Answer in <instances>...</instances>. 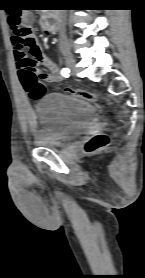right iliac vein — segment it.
Returning a JSON list of instances; mask_svg holds the SVG:
<instances>
[{
    "label": "right iliac vein",
    "mask_w": 145,
    "mask_h": 278,
    "mask_svg": "<svg viewBox=\"0 0 145 278\" xmlns=\"http://www.w3.org/2000/svg\"><path fill=\"white\" fill-rule=\"evenodd\" d=\"M63 55H64L65 64L67 65V67L72 72H75L76 65H75V60H74L73 56L68 51H64Z\"/></svg>",
    "instance_id": "obj_1"
}]
</instances>
